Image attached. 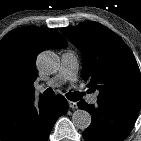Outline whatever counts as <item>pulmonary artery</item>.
<instances>
[{"mask_svg": "<svg viewBox=\"0 0 141 141\" xmlns=\"http://www.w3.org/2000/svg\"><path fill=\"white\" fill-rule=\"evenodd\" d=\"M78 72V60L76 55L73 52L67 51L64 52L61 56V66L52 79H50L46 84H41L36 87L37 91H43L47 87H58L65 82H73L77 77ZM98 97V92L90 95L88 97L89 103H96Z\"/></svg>", "mask_w": 141, "mask_h": 141, "instance_id": "pulmonary-artery-1", "label": "pulmonary artery"}]
</instances>
